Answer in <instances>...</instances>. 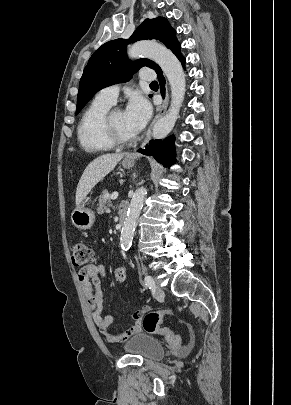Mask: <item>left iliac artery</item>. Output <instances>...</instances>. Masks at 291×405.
<instances>
[{
    "mask_svg": "<svg viewBox=\"0 0 291 405\" xmlns=\"http://www.w3.org/2000/svg\"><path fill=\"white\" fill-rule=\"evenodd\" d=\"M147 288L152 289L155 286L154 280L151 276L147 275L144 279Z\"/></svg>",
    "mask_w": 291,
    "mask_h": 405,
    "instance_id": "left-iliac-artery-1",
    "label": "left iliac artery"
}]
</instances>
